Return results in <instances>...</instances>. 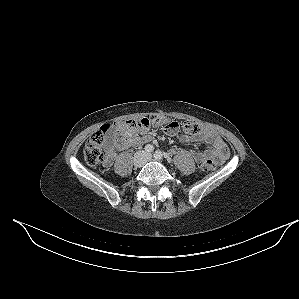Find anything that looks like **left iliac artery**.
<instances>
[{"mask_svg":"<svg viewBox=\"0 0 299 299\" xmlns=\"http://www.w3.org/2000/svg\"><path fill=\"white\" fill-rule=\"evenodd\" d=\"M154 157H155V159H157V160H161V159H163V157L167 158V160L170 159L167 155L163 154L160 150H157V151L154 153Z\"/></svg>","mask_w":299,"mask_h":299,"instance_id":"1","label":"left iliac artery"}]
</instances>
